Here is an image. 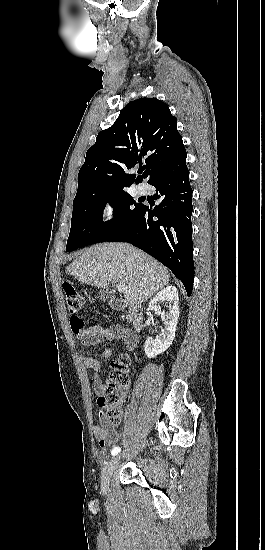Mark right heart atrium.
Listing matches in <instances>:
<instances>
[{"instance_id": "right-heart-atrium-1", "label": "right heart atrium", "mask_w": 265, "mask_h": 550, "mask_svg": "<svg viewBox=\"0 0 265 550\" xmlns=\"http://www.w3.org/2000/svg\"><path fill=\"white\" fill-rule=\"evenodd\" d=\"M119 213V206L114 201L110 200L102 209V218L106 222H111L118 218Z\"/></svg>"}]
</instances>
